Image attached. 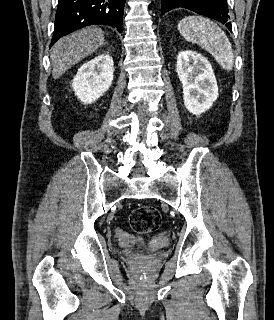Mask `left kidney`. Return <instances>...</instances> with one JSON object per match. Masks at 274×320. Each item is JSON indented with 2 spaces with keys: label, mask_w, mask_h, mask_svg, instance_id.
Segmentation results:
<instances>
[{
  "label": "left kidney",
  "mask_w": 274,
  "mask_h": 320,
  "mask_svg": "<svg viewBox=\"0 0 274 320\" xmlns=\"http://www.w3.org/2000/svg\"><path fill=\"white\" fill-rule=\"evenodd\" d=\"M176 72L182 84L186 110L195 116L209 110L219 94L217 80L208 60L197 52L184 50L177 56Z\"/></svg>",
  "instance_id": "5707ae66"
}]
</instances>
